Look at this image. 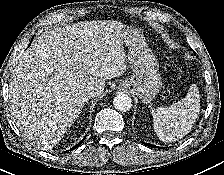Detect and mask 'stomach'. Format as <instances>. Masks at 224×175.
<instances>
[{
	"instance_id": "0dacf381",
	"label": "stomach",
	"mask_w": 224,
	"mask_h": 175,
	"mask_svg": "<svg viewBox=\"0 0 224 175\" xmlns=\"http://www.w3.org/2000/svg\"><path fill=\"white\" fill-rule=\"evenodd\" d=\"M123 43L128 48L127 60L133 75L122 81L120 88L148 103L159 93L162 86L156 56L138 29H127Z\"/></svg>"
}]
</instances>
